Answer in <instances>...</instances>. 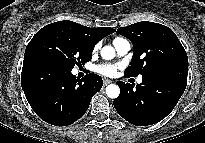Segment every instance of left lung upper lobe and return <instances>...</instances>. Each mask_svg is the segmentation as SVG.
<instances>
[{
    "mask_svg": "<svg viewBox=\"0 0 205 143\" xmlns=\"http://www.w3.org/2000/svg\"><path fill=\"white\" fill-rule=\"evenodd\" d=\"M129 38L134 47L130 66L125 70V76L135 77L146 75L155 67L173 63L188 64L185 49L176 34L167 26L159 23L141 21L117 30Z\"/></svg>",
    "mask_w": 205,
    "mask_h": 143,
    "instance_id": "1",
    "label": "left lung upper lobe"
}]
</instances>
